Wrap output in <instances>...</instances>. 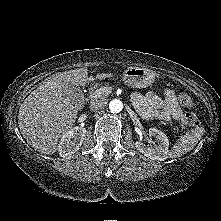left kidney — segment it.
I'll return each mask as SVG.
<instances>
[{"instance_id": "5707ae66", "label": "left kidney", "mask_w": 221, "mask_h": 221, "mask_svg": "<svg viewBox=\"0 0 221 221\" xmlns=\"http://www.w3.org/2000/svg\"><path fill=\"white\" fill-rule=\"evenodd\" d=\"M149 136L156 138L158 145H155L154 147H147L142 142L137 141L135 143L137 150L152 160H166L169 147V140L166 134L156 128H150Z\"/></svg>"}]
</instances>
